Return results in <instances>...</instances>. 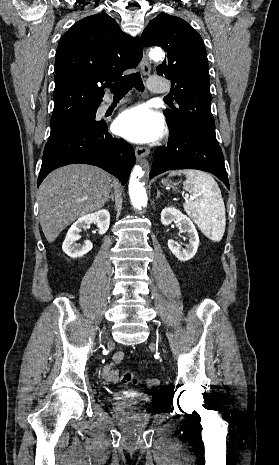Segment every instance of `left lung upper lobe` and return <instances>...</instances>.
I'll use <instances>...</instances> for the list:
<instances>
[{
  "label": "left lung upper lobe",
  "mask_w": 279,
  "mask_h": 465,
  "mask_svg": "<svg viewBox=\"0 0 279 465\" xmlns=\"http://www.w3.org/2000/svg\"><path fill=\"white\" fill-rule=\"evenodd\" d=\"M144 46H160L167 57L157 74L171 80V101L164 111L170 132L192 130L216 140L211 114L207 52L200 35L183 19L160 13L144 29Z\"/></svg>",
  "instance_id": "1"
}]
</instances>
